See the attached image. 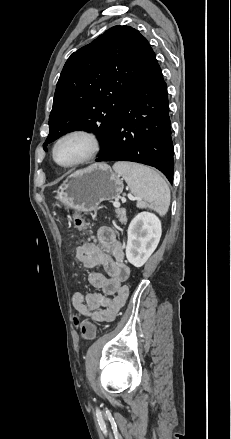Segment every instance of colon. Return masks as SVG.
I'll return each instance as SVG.
<instances>
[{
	"mask_svg": "<svg viewBox=\"0 0 231 439\" xmlns=\"http://www.w3.org/2000/svg\"><path fill=\"white\" fill-rule=\"evenodd\" d=\"M74 223L75 226L79 229L84 227V221L79 217V216H75L74 218ZM87 262V257L85 255H82L81 257H77L76 258V263L77 264H81L84 265ZM74 322L76 325L79 324L78 319L75 317ZM81 332L82 335L85 339L91 340L96 336V326L92 321H85L83 322L82 326H81Z\"/></svg>",
	"mask_w": 231,
	"mask_h": 439,
	"instance_id": "colon-1",
	"label": "colon"
}]
</instances>
